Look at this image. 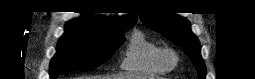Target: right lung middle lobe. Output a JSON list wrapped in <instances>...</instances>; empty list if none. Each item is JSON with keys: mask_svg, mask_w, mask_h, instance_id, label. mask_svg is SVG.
<instances>
[{"mask_svg": "<svg viewBox=\"0 0 255 79\" xmlns=\"http://www.w3.org/2000/svg\"><path fill=\"white\" fill-rule=\"evenodd\" d=\"M132 26L121 29L114 36L65 31L59 39L57 53L50 63L51 78L54 79L58 74L70 70L96 68L108 61L124 40L122 33Z\"/></svg>", "mask_w": 255, "mask_h": 79, "instance_id": "obj_1", "label": "right lung middle lobe"}]
</instances>
